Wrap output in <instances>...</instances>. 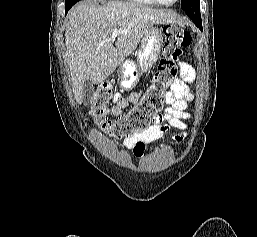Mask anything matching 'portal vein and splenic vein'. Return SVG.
I'll use <instances>...</instances> for the list:
<instances>
[{
    "label": "portal vein and splenic vein",
    "mask_w": 257,
    "mask_h": 237,
    "mask_svg": "<svg viewBox=\"0 0 257 237\" xmlns=\"http://www.w3.org/2000/svg\"><path fill=\"white\" fill-rule=\"evenodd\" d=\"M122 33H126V31H122V30H119V29H113V30H112L111 38H110L108 41L113 42V41L115 40V38H116L119 34H122Z\"/></svg>",
    "instance_id": "obj_1"
}]
</instances>
